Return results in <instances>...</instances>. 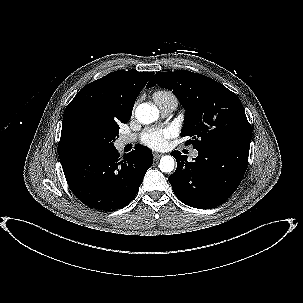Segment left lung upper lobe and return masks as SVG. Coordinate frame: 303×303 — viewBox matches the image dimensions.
<instances>
[{"mask_svg": "<svg viewBox=\"0 0 303 303\" xmlns=\"http://www.w3.org/2000/svg\"><path fill=\"white\" fill-rule=\"evenodd\" d=\"M173 91L186 117L181 136L195 149L206 145L250 146L251 125L238 96L213 79L190 71L157 72L147 84Z\"/></svg>", "mask_w": 303, "mask_h": 303, "instance_id": "left-lung-upper-lobe-1", "label": "left lung upper lobe"}]
</instances>
